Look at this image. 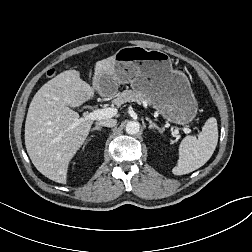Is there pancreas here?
<instances>
[{
  "label": "pancreas",
  "mask_w": 252,
  "mask_h": 252,
  "mask_svg": "<svg viewBox=\"0 0 252 252\" xmlns=\"http://www.w3.org/2000/svg\"><path fill=\"white\" fill-rule=\"evenodd\" d=\"M144 101H146V99L142 93L134 90H125L120 93L116 99H114L113 103L120 107L127 102H136L138 104H142Z\"/></svg>",
  "instance_id": "obj_1"
}]
</instances>
